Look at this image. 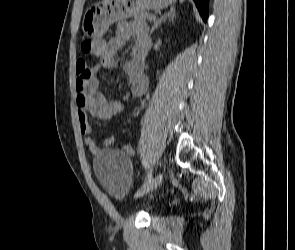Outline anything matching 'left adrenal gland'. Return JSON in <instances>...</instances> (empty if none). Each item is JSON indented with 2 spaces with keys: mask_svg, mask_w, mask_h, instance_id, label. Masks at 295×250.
<instances>
[{
  "mask_svg": "<svg viewBox=\"0 0 295 250\" xmlns=\"http://www.w3.org/2000/svg\"><path fill=\"white\" fill-rule=\"evenodd\" d=\"M175 17H176L175 7H171L170 11H168L164 15H161L160 18H158L154 22V25L151 28L150 34H152L154 32V30L161 25V23L166 22L167 19L173 20Z\"/></svg>",
  "mask_w": 295,
  "mask_h": 250,
  "instance_id": "left-adrenal-gland-1",
  "label": "left adrenal gland"
}]
</instances>
